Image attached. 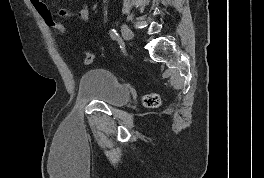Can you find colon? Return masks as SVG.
Returning a JSON list of instances; mask_svg holds the SVG:
<instances>
[{
    "label": "colon",
    "mask_w": 264,
    "mask_h": 178,
    "mask_svg": "<svg viewBox=\"0 0 264 178\" xmlns=\"http://www.w3.org/2000/svg\"><path fill=\"white\" fill-rule=\"evenodd\" d=\"M34 9L36 10L39 17L49 28L55 29L60 33H65V28L61 22H59L53 15L49 6L43 0H30ZM95 55L91 52L83 54V63L88 65L93 63ZM144 104L148 107H158L160 105V99L156 94H150L145 97Z\"/></svg>",
    "instance_id": "colon-1"
}]
</instances>
